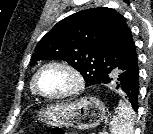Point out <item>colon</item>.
I'll list each match as a JSON object with an SVG mask.
<instances>
[{
	"instance_id": "5ec220e1",
	"label": "colon",
	"mask_w": 153,
	"mask_h": 134,
	"mask_svg": "<svg viewBox=\"0 0 153 134\" xmlns=\"http://www.w3.org/2000/svg\"><path fill=\"white\" fill-rule=\"evenodd\" d=\"M52 134H66V132L61 128H54Z\"/></svg>"
}]
</instances>
